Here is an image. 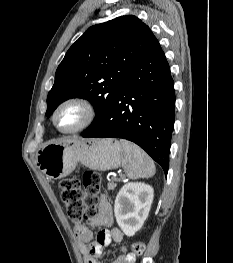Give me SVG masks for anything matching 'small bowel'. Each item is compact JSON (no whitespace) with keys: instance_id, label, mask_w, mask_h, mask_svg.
<instances>
[{"instance_id":"c3829d8e","label":"small bowel","mask_w":233,"mask_h":263,"mask_svg":"<svg viewBox=\"0 0 233 263\" xmlns=\"http://www.w3.org/2000/svg\"><path fill=\"white\" fill-rule=\"evenodd\" d=\"M114 220L110 202L102 196L98 205L97 214L85 223H76L74 230L77 236L78 248L83 256L84 263H100L99 258L103 249L111 242L120 244L123 233L118 228L107 229L112 226ZM91 228H98L96 239L93 240ZM122 254L112 263H135L136 257L128 252L125 246L121 247Z\"/></svg>"}]
</instances>
